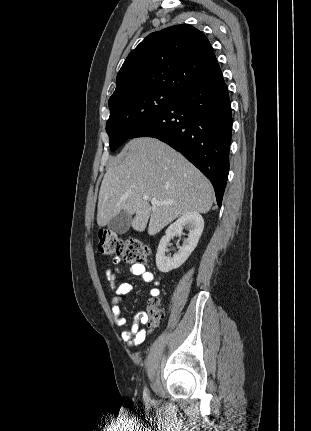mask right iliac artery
Returning <instances> with one entry per match:
<instances>
[{"label":"right iliac artery","instance_id":"right-iliac-artery-1","mask_svg":"<svg viewBox=\"0 0 311 431\" xmlns=\"http://www.w3.org/2000/svg\"><path fill=\"white\" fill-rule=\"evenodd\" d=\"M148 397H149L148 390H147V388L145 387V388H144V391H143V398H144V399H148Z\"/></svg>","mask_w":311,"mask_h":431}]
</instances>
